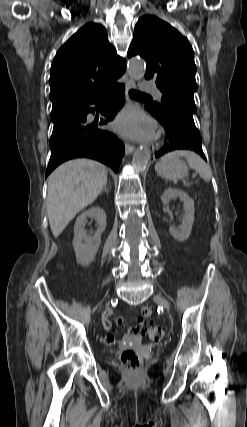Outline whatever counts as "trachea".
Segmentation results:
<instances>
[{
  "label": "trachea",
  "mask_w": 247,
  "mask_h": 427,
  "mask_svg": "<svg viewBox=\"0 0 247 427\" xmlns=\"http://www.w3.org/2000/svg\"><path fill=\"white\" fill-rule=\"evenodd\" d=\"M129 94L131 97H147L148 96L147 94L138 92L136 90H130Z\"/></svg>",
  "instance_id": "1"
}]
</instances>
